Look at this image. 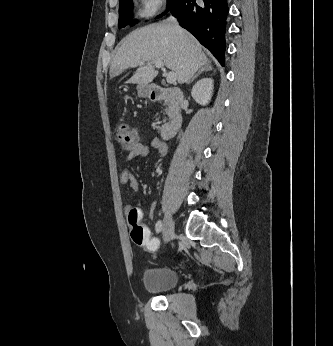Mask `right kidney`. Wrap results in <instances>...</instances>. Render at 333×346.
Segmentation results:
<instances>
[{"mask_svg": "<svg viewBox=\"0 0 333 346\" xmlns=\"http://www.w3.org/2000/svg\"><path fill=\"white\" fill-rule=\"evenodd\" d=\"M213 92V79L203 78L199 80L192 88L191 95L200 105H207L211 100Z\"/></svg>", "mask_w": 333, "mask_h": 346, "instance_id": "ca27d5eb", "label": "right kidney"}]
</instances>
